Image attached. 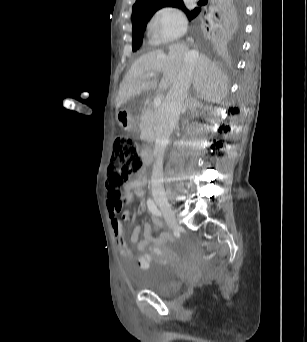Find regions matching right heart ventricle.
Segmentation results:
<instances>
[{
    "instance_id": "right-heart-ventricle-1",
    "label": "right heart ventricle",
    "mask_w": 307,
    "mask_h": 342,
    "mask_svg": "<svg viewBox=\"0 0 307 342\" xmlns=\"http://www.w3.org/2000/svg\"><path fill=\"white\" fill-rule=\"evenodd\" d=\"M145 51L154 52L156 51V44L144 37Z\"/></svg>"
}]
</instances>
